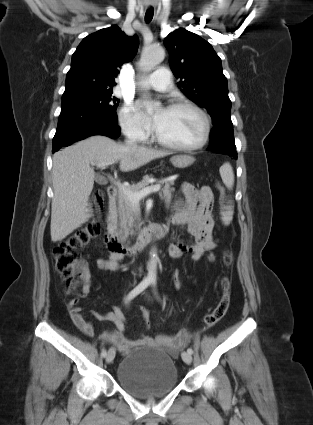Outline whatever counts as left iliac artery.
<instances>
[{"label": "left iliac artery", "mask_w": 313, "mask_h": 425, "mask_svg": "<svg viewBox=\"0 0 313 425\" xmlns=\"http://www.w3.org/2000/svg\"><path fill=\"white\" fill-rule=\"evenodd\" d=\"M151 283H152V285H153V286H155V285H156V281H155V280H152V282H151ZM187 352H188V353H190V354H192V353H193L192 348H188V349H187Z\"/></svg>", "instance_id": "1"}]
</instances>
